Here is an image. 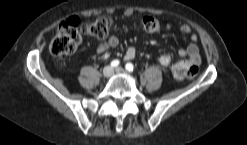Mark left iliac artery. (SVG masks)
Here are the masks:
<instances>
[{"mask_svg": "<svg viewBox=\"0 0 247 145\" xmlns=\"http://www.w3.org/2000/svg\"><path fill=\"white\" fill-rule=\"evenodd\" d=\"M125 68H126V70H127L128 72H132V71L134 70V66H133L132 63H127V64L125 65Z\"/></svg>", "mask_w": 247, "mask_h": 145, "instance_id": "1", "label": "left iliac artery"}]
</instances>
